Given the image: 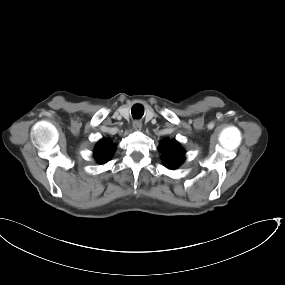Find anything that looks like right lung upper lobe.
<instances>
[{
	"mask_svg": "<svg viewBox=\"0 0 285 285\" xmlns=\"http://www.w3.org/2000/svg\"><path fill=\"white\" fill-rule=\"evenodd\" d=\"M115 145L111 142L102 139L95 147L94 157L99 164H104L110 160L115 152Z\"/></svg>",
	"mask_w": 285,
	"mask_h": 285,
	"instance_id": "obj_1",
	"label": "right lung upper lobe"
}]
</instances>
